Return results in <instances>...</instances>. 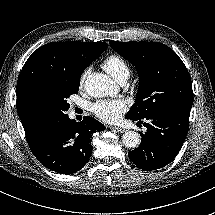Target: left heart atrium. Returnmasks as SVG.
<instances>
[{
  "mask_svg": "<svg viewBox=\"0 0 215 215\" xmlns=\"http://www.w3.org/2000/svg\"><path fill=\"white\" fill-rule=\"evenodd\" d=\"M127 110V102L123 99L100 100L92 106L93 114L109 123L118 121Z\"/></svg>",
  "mask_w": 215,
  "mask_h": 215,
  "instance_id": "left-heart-atrium-1",
  "label": "left heart atrium"
}]
</instances>
